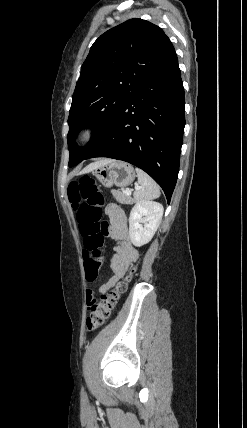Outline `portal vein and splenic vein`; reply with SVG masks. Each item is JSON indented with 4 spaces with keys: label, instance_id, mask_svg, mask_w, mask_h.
<instances>
[{
    "label": "portal vein and splenic vein",
    "instance_id": "portal-vein-and-splenic-vein-1",
    "mask_svg": "<svg viewBox=\"0 0 247 428\" xmlns=\"http://www.w3.org/2000/svg\"><path fill=\"white\" fill-rule=\"evenodd\" d=\"M136 189H139V187L137 186V187H135ZM124 194L125 195H128V196H130L131 195V190H128V189H126V190H124Z\"/></svg>",
    "mask_w": 247,
    "mask_h": 428
}]
</instances>
